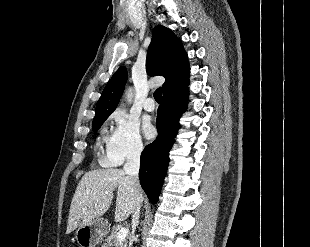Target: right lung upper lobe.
I'll return each instance as SVG.
<instances>
[{
  "instance_id": "1",
  "label": "right lung upper lobe",
  "mask_w": 310,
  "mask_h": 247,
  "mask_svg": "<svg viewBox=\"0 0 310 247\" xmlns=\"http://www.w3.org/2000/svg\"><path fill=\"white\" fill-rule=\"evenodd\" d=\"M146 70L149 75L165 77L164 94L189 82V64L181 40L170 29L158 25L153 30L148 48ZM127 80L125 67H120L104 88L96 106L94 121L108 117L116 108Z\"/></svg>"
}]
</instances>
